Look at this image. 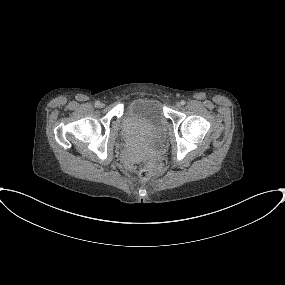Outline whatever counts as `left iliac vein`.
I'll return each instance as SVG.
<instances>
[{
    "label": "left iliac vein",
    "instance_id": "1",
    "mask_svg": "<svg viewBox=\"0 0 285 285\" xmlns=\"http://www.w3.org/2000/svg\"><path fill=\"white\" fill-rule=\"evenodd\" d=\"M181 106V104L178 102V103H176V107H180Z\"/></svg>",
    "mask_w": 285,
    "mask_h": 285
}]
</instances>
